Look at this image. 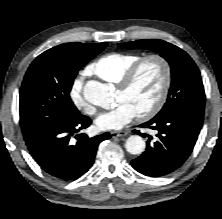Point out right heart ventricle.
I'll use <instances>...</instances> for the list:
<instances>
[{"mask_svg":"<svg viewBox=\"0 0 222 219\" xmlns=\"http://www.w3.org/2000/svg\"><path fill=\"white\" fill-rule=\"evenodd\" d=\"M143 55L129 52H111L99 57L89 71L104 81L118 84L125 72Z\"/></svg>","mask_w":222,"mask_h":219,"instance_id":"obj_1","label":"right heart ventricle"}]
</instances>
